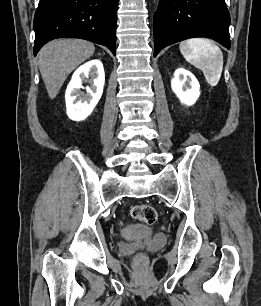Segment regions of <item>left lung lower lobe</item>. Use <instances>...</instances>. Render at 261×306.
I'll return each instance as SVG.
<instances>
[{"label":"left lung lower lobe","instance_id":"1","mask_svg":"<svg viewBox=\"0 0 261 306\" xmlns=\"http://www.w3.org/2000/svg\"><path fill=\"white\" fill-rule=\"evenodd\" d=\"M229 24L224 0H159L154 57L164 47L193 37H208L230 49Z\"/></svg>","mask_w":261,"mask_h":306}]
</instances>
